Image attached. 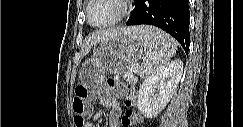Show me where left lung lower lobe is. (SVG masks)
<instances>
[{
	"mask_svg": "<svg viewBox=\"0 0 243 127\" xmlns=\"http://www.w3.org/2000/svg\"><path fill=\"white\" fill-rule=\"evenodd\" d=\"M126 25L159 27L177 39L188 53L190 45L188 0H138Z\"/></svg>",
	"mask_w": 243,
	"mask_h": 127,
	"instance_id": "0a47b994",
	"label": "left lung lower lobe"
}]
</instances>
